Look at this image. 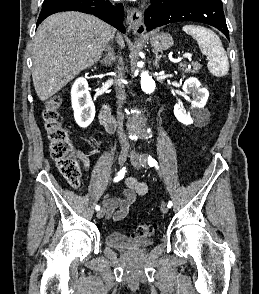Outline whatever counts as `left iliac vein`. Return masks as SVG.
Returning a JSON list of instances; mask_svg holds the SVG:
<instances>
[{"instance_id":"1","label":"left iliac vein","mask_w":259,"mask_h":294,"mask_svg":"<svg viewBox=\"0 0 259 294\" xmlns=\"http://www.w3.org/2000/svg\"><path fill=\"white\" fill-rule=\"evenodd\" d=\"M140 159H141V157H140V155L137 152L133 151L131 153V155H130V161H131V163H132V165L134 167L140 168L143 165V162ZM160 208H161V211L163 213H167L168 212V205L166 204V202L163 201L161 203Z\"/></svg>"}]
</instances>
